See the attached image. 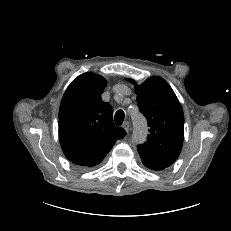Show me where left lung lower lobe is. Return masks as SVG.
Returning <instances> with one entry per match:
<instances>
[{"mask_svg":"<svg viewBox=\"0 0 231 231\" xmlns=\"http://www.w3.org/2000/svg\"><path fill=\"white\" fill-rule=\"evenodd\" d=\"M147 167V166H146ZM149 168V167H148ZM150 169H153V170H162V169H157V168H150Z\"/></svg>","mask_w":231,"mask_h":231,"instance_id":"obj_1","label":"left lung lower lobe"}]
</instances>
